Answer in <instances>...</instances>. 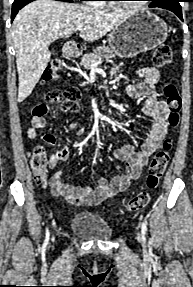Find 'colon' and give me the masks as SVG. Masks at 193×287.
Listing matches in <instances>:
<instances>
[{"label":"colon","mask_w":193,"mask_h":287,"mask_svg":"<svg viewBox=\"0 0 193 287\" xmlns=\"http://www.w3.org/2000/svg\"><path fill=\"white\" fill-rule=\"evenodd\" d=\"M172 50L168 45H160L156 48L153 55V62L158 67H164L172 61ZM62 63L59 59L54 58L50 61L49 66L44 74L47 81L57 80L60 76ZM164 96L169 111L168 123L172 128H176L180 121V112L182 100L180 94L173 84H167L164 87ZM82 93L77 88H69L62 94L52 91L46 94L47 104L60 103L62 110L77 111ZM45 103L37 104L32 110V122L38 127L43 124L45 115L48 112V106ZM173 149V141L166 139L162 148L154 155L151 160L148 174L146 177V189L138 193L126 204L124 211L134 213L145 208L151 201L153 192L158 188L160 180L169 164L170 154ZM31 166L34 171L35 181L38 184H44L47 179L50 162L46 151L41 146H36L31 153Z\"/></svg>","instance_id":"1"}]
</instances>
